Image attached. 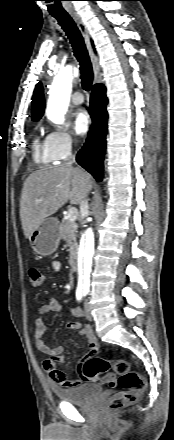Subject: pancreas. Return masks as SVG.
I'll list each match as a JSON object with an SVG mask.
<instances>
[{"label": "pancreas", "mask_w": 174, "mask_h": 440, "mask_svg": "<svg viewBox=\"0 0 174 440\" xmlns=\"http://www.w3.org/2000/svg\"><path fill=\"white\" fill-rule=\"evenodd\" d=\"M77 223L75 221L71 222L68 219H63L60 224V238L68 243L70 246V254L74 255L77 249L76 242V232H77Z\"/></svg>", "instance_id": "obj_1"}]
</instances>
